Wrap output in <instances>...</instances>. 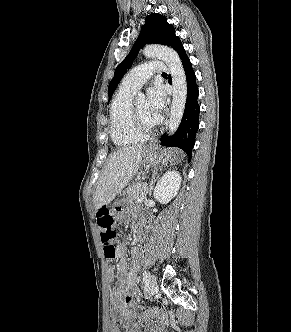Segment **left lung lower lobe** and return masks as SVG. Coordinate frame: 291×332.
I'll use <instances>...</instances> for the list:
<instances>
[{
  "label": "left lung lower lobe",
  "instance_id": "left-lung-lower-lobe-1",
  "mask_svg": "<svg viewBox=\"0 0 291 332\" xmlns=\"http://www.w3.org/2000/svg\"><path fill=\"white\" fill-rule=\"evenodd\" d=\"M178 54L184 68L187 82L185 110L181 123L175 134L172 137H168L164 134L160 140L164 145L182 149L189 156V159H191L195 136L199 128L200 106L198 104V87L194 70L185 49L182 48Z\"/></svg>",
  "mask_w": 291,
  "mask_h": 332
}]
</instances>
